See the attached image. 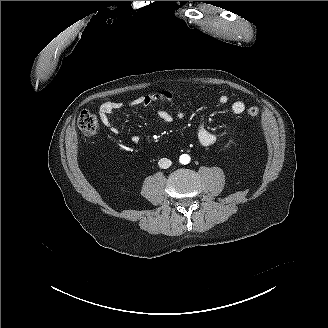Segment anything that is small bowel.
Listing matches in <instances>:
<instances>
[{
	"mask_svg": "<svg viewBox=\"0 0 328 328\" xmlns=\"http://www.w3.org/2000/svg\"><path fill=\"white\" fill-rule=\"evenodd\" d=\"M172 101V95L166 91H159L155 93L145 94L133 99L130 103L132 107L138 106H149L154 103H167L170 104ZM217 102L221 105H225L229 102V98L225 94H219L217 96ZM122 103L118 101H106L99 107V116L102 123L109 128L110 132L114 135L118 134V129L112 124L111 115L113 112L121 109ZM246 106L244 102L237 100L231 104V110L235 114H241L245 111ZM159 118L164 122H171L175 118L181 117V112H171L167 108H161L157 111ZM198 142L205 147L212 146L216 142V135L207 129L205 126V120L202 119L195 131ZM131 141L138 143L139 138L133 136Z\"/></svg>",
	"mask_w": 328,
	"mask_h": 328,
	"instance_id": "1",
	"label": "small bowel"
}]
</instances>
